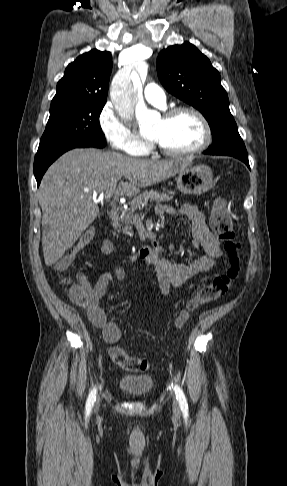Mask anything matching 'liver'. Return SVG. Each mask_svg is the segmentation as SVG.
<instances>
[{
  "label": "liver",
  "instance_id": "obj_1",
  "mask_svg": "<svg viewBox=\"0 0 287 486\" xmlns=\"http://www.w3.org/2000/svg\"><path fill=\"white\" fill-rule=\"evenodd\" d=\"M190 160L154 161L91 148L63 154L44 174L38 192L45 264H55L95 220L97 193L114 188L116 196H134L140 188L176 175ZM122 176L129 182L117 186Z\"/></svg>",
  "mask_w": 287,
  "mask_h": 486
}]
</instances>
